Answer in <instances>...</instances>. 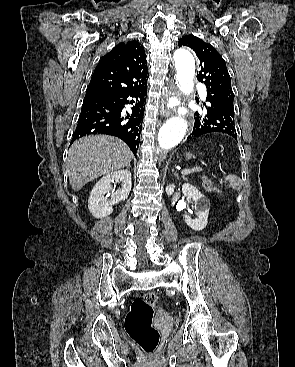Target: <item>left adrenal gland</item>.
Segmentation results:
<instances>
[{
	"label": "left adrenal gland",
	"instance_id": "a2214340",
	"mask_svg": "<svg viewBox=\"0 0 295 367\" xmlns=\"http://www.w3.org/2000/svg\"><path fill=\"white\" fill-rule=\"evenodd\" d=\"M173 171H174V170H173ZM174 174L177 176V173H176V172H175Z\"/></svg>",
	"mask_w": 295,
	"mask_h": 367
}]
</instances>
